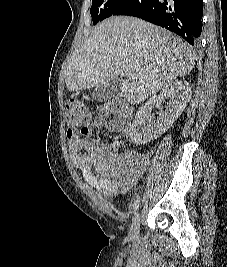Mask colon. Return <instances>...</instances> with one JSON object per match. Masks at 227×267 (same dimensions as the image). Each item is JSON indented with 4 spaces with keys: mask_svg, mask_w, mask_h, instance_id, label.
I'll return each mask as SVG.
<instances>
[{
    "mask_svg": "<svg viewBox=\"0 0 227 267\" xmlns=\"http://www.w3.org/2000/svg\"><path fill=\"white\" fill-rule=\"evenodd\" d=\"M101 112L107 116H116L119 123L128 120L129 114L126 106L120 100H111L101 109ZM67 121L72 125H85L90 120V113L86 106L77 100H71L67 103L65 109Z\"/></svg>",
    "mask_w": 227,
    "mask_h": 267,
    "instance_id": "5ec220e1",
    "label": "colon"
}]
</instances>
